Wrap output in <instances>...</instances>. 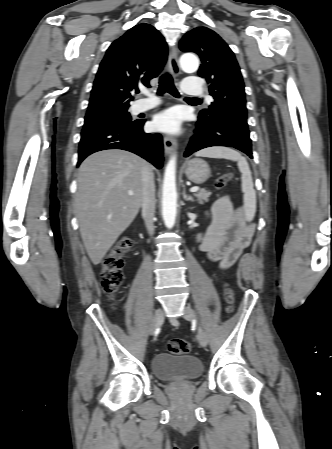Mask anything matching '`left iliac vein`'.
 Instances as JSON below:
<instances>
[{
    "label": "left iliac vein",
    "instance_id": "obj_1",
    "mask_svg": "<svg viewBox=\"0 0 332 449\" xmlns=\"http://www.w3.org/2000/svg\"><path fill=\"white\" fill-rule=\"evenodd\" d=\"M183 317L188 321H196L197 320L195 311L188 306H186L184 308ZM197 340L202 347H205L208 343L207 336L201 328L198 329Z\"/></svg>",
    "mask_w": 332,
    "mask_h": 449
}]
</instances>
